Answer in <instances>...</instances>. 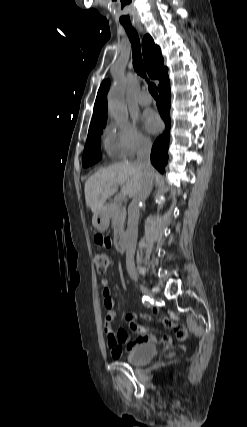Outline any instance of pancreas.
Instances as JSON below:
<instances>
[{
  "label": "pancreas",
  "instance_id": "pancreas-1",
  "mask_svg": "<svg viewBox=\"0 0 247 427\" xmlns=\"http://www.w3.org/2000/svg\"><path fill=\"white\" fill-rule=\"evenodd\" d=\"M108 215L112 219V223L117 226L119 233H123L126 219V207L122 202L114 200L109 204Z\"/></svg>",
  "mask_w": 247,
  "mask_h": 427
}]
</instances>
